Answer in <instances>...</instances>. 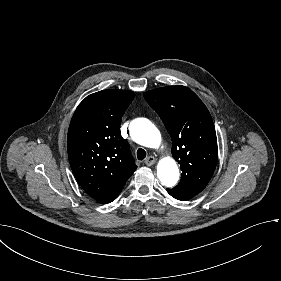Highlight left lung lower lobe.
I'll return each mask as SVG.
<instances>
[{"label": "left lung lower lobe", "instance_id": "left-lung-lower-lobe-1", "mask_svg": "<svg viewBox=\"0 0 281 281\" xmlns=\"http://www.w3.org/2000/svg\"><path fill=\"white\" fill-rule=\"evenodd\" d=\"M167 192L175 199L178 200H189L191 199L193 196L188 195L186 193H182V192H178L175 189H167Z\"/></svg>", "mask_w": 281, "mask_h": 281}]
</instances>
